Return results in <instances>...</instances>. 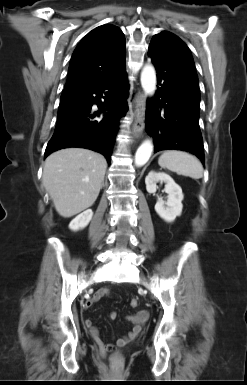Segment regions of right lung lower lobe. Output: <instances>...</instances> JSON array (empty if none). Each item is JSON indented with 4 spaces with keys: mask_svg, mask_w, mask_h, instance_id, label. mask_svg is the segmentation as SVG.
<instances>
[{
    "mask_svg": "<svg viewBox=\"0 0 247 385\" xmlns=\"http://www.w3.org/2000/svg\"><path fill=\"white\" fill-rule=\"evenodd\" d=\"M127 96L128 81L124 67L108 80L60 103L57 125L46 147L45 157L62 148L81 147L103 154L110 163L119 119L127 110ZM94 104L100 109L99 112L92 110ZM106 110L109 113H105L103 118L94 119Z\"/></svg>",
    "mask_w": 247,
    "mask_h": 385,
    "instance_id": "98d812e1",
    "label": "right lung lower lobe"
}]
</instances>
